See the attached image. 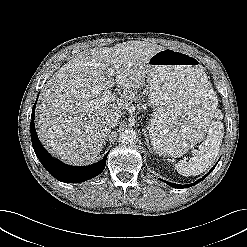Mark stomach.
<instances>
[{
    "label": "stomach",
    "instance_id": "1",
    "mask_svg": "<svg viewBox=\"0 0 247 247\" xmlns=\"http://www.w3.org/2000/svg\"><path fill=\"white\" fill-rule=\"evenodd\" d=\"M149 99L154 114L149 123L153 149L179 157L205 135L216 97L200 61L189 53L164 48L147 63Z\"/></svg>",
    "mask_w": 247,
    "mask_h": 247
}]
</instances>
